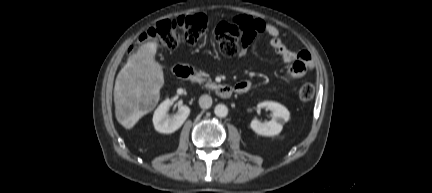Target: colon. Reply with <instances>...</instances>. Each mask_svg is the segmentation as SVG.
<instances>
[{"label":"colon","mask_w":432,"mask_h":193,"mask_svg":"<svg viewBox=\"0 0 432 193\" xmlns=\"http://www.w3.org/2000/svg\"><path fill=\"white\" fill-rule=\"evenodd\" d=\"M207 18L203 14L181 16L163 20L149 27L139 37V42L153 41L164 49H175L181 43L196 44L207 30ZM252 30L242 23L220 22L213 28V38L219 51L225 56H234L252 41ZM315 95V86L305 83L299 90L302 101H310Z\"/></svg>","instance_id":"5ec220e1"}]
</instances>
